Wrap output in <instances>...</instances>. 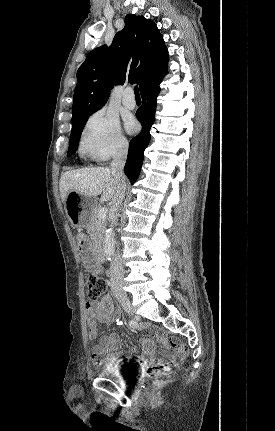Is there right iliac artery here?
I'll return each instance as SVG.
<instances>
[{
	"label": "right iliac artery",
	"instance_id": "1",
	"mask_svg": "<svg viewBox=\"0 0 275 431\" xmlns=\"http://www.w3.org/2000/svg\"><path fill=\"white\" fill-rule=\"evenodd\" d=\"M129 326H130L131 328H136V327L138 326V323H137V321H136V320H130V321H129Z\"/></svg>",
	"mask_w": 275,
	"mask_h": 431
}]
</instances>
